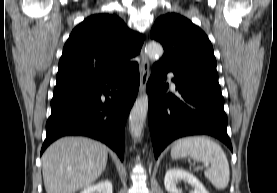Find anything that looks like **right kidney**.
<instances>
[{"instance_id": "1", "label": "right kidney", "mask_w": 277, "mask_h": 193, "mask_svg": "<svg viewBox=\"0 0 277 193\" xmlns=\"http://www.w3.org/2000/svg\"><path fill=\"white\" fill-rule=\"evenodd\" d=\"M80 193H113L112 184L109 180L85 188Z\"/></svg>"}]
</instances>
